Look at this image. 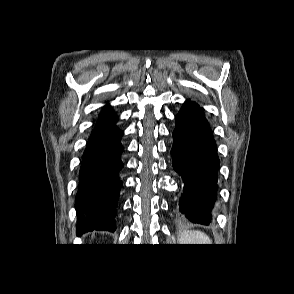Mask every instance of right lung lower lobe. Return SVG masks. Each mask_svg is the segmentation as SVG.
Returning <instances> with one entry per match:
<instances>
[{
	"label": "right lung lower lobe",
	"mask_w": 294,
	"mask_h": 294,
	"mask_svg": "<svg viewBox=\"0 0 294 294\" xmlns=\"http://www.w3.org/2000/svg\"><path fill=\"white\" fill-rule=\"evenodd\" d=\"M118 116L105 109L99 116L84 152L80 185L76 196L77 234L93 230L114 231V216L122 182L120 138L123 131L115 123Z\"/></svg>",
	"instance_id": "right-lung-lower-lobe-1"
}]
</instances>
